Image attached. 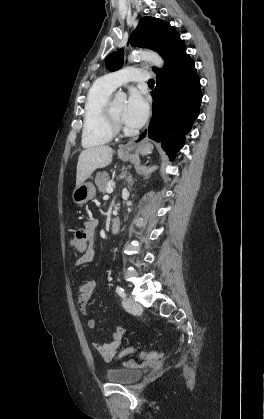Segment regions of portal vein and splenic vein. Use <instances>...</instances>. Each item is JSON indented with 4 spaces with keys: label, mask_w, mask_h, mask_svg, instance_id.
I'll use <instances>...</instances> for the list:
<instances>
[{
    "label": "portal vein and splenic vein",
    "mask_w": 264,
    "mask_h": 419,
    "mask_svg": "<svg viewBox=\"0 0 264 419\" xmlns=\"http://www.w3.org/2000/svg\"><path fill=\"white\" fill-rule=\"evenodd\" d=\"M106 192H107L108 194L112 193V192H113V188H112V187H108V188L106 189Z\"/></svg>",
    "instance_id": "obj_1"
}]
</instances>
